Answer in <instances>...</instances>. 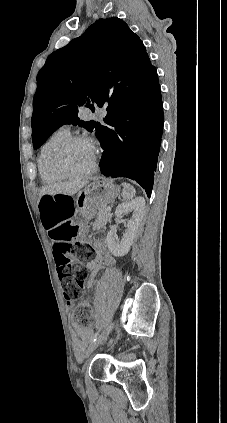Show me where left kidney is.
Listing matches in <instances>:
<instances>
[{"instance_id":"5707ae66","label":"left kidney","mask_w":227,"mask_h":423,"mask_svg":"<svg viewBox=\"0 0 227 423\" xmlns=\"http://www.w3.org/2000/svg\"><path fill=\"white\" fill-rule=\"evenodd\" d=\"M129 211H133L132 217L127 221V229L125 233H123L122 239H118L117 235H115V231L110 229L107 233V245L116 257H122V255H126L130 249V245L136 235V231L140 225V221L143 219V215L145 213V200L144 198H135L129 204H120L117 206L115 215H124V213H129Z\"/></svg>"}]
</instances>
